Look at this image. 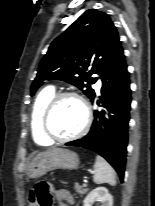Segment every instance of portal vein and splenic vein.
I'll return each instance as SVG.
<instances>
[{
	"mask_svg": "<svg viewBox=\"0 0 155 206\" xmlns=\"http://www.w3.org/2000/svg\"><path fill=\"white\" fill-rule=\"evenodd\" d=\"M83 187H86V184H85V183H83Z\"/></svg>",
	"mask_w": 155,
	"mask_h": 206,
	"instance_id": "18ae733b",
	"label": "portal vein and splenic vein"
}]
</instances>
